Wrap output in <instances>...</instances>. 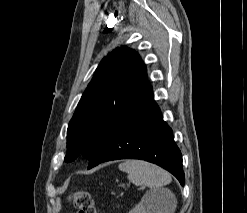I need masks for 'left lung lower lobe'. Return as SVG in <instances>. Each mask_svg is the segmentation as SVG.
<instances>
[{
  "label": "left lung lower lobe",
  "mask_w": 247,
  "mask_h": 213,
  "mask_svg": "<svg viewBox=\"0 0 247 213\" xmlns=\"http://www.w3.org/2000/svg\"><path fill=\"white\" fill-rule=\"evenodd\" d=\"M117 159L149 161L172 173L182 186L185 184L181 152L147 81L141 94L103 135L88 159V169Z\"/></svg>",
  "instance_id": "left-lung-lower-lobe-1"
}]
</instances>
